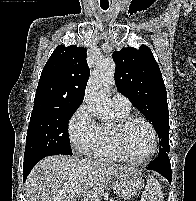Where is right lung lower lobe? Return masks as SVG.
<instances>
[{"mask_svg":"<svg viewBox=\"0 0 196 201\" xmlns=\"http://www.w3.org/2000/svg\"><path fill=\"white\" fill-rule=\"evenodd\" d=\"M59 152L56 151H44L41 153L33 154L28 156L27 158H24V164H23V181L26 180L28 174L32 170V168L44 157L50 156V155H58Z\"/></svg>","mask_w":196,"mask_h":201,"instance_id":"obj_1","label":"right lung lower lobe"}]
</instances>
